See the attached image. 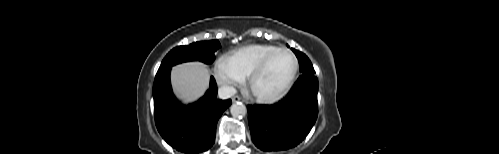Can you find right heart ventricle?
I'll list each match as a JSON object with an SVG mask.
<instances>
[{"mask_svg": "<svg viewBox=\"0 0 499 154\" xmlns=\"http://www.w3.org/2000/svg\"><path fill=\"white\" fill-rule=\"evenodd\" d=\"M277 48L268 44L247 45L233 50L228 58L245 78L249 77L264 57Z\"/></svg>", "mask_w": 499, "mask_h": 154, "instance_id": "right-heart-ventricle-1", "label": "right heart ventricle"}]
</instances>
